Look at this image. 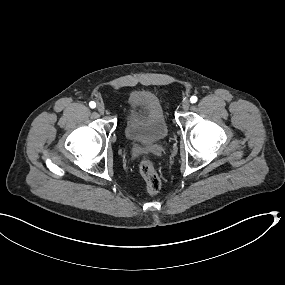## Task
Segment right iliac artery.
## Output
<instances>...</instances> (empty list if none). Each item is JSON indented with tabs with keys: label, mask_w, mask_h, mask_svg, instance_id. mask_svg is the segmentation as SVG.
Masks as SVG:
<instances>
[{
	"label": "right iliac artery",
	"mask_w": 285,
	"mask_h": 285,
	"mask_svg": "<svg viewBox=\"0 0 285 285\" xmlns=\"http://www.w3.org/2000/svg\"><path fill=\"white\" fill-rule=\"evenodd\" d=\"M89 106H90L91 108H95V107H96V103H95L94 101H91V102L89 103Z\"/></svg>",
	"instance_id": "1"
}]
</instances>
